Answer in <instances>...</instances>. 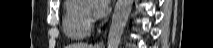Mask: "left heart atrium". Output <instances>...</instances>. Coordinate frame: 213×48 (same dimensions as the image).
Here are the masks:
<instances>
[{
  "label": "left heart atrium",
  "mask_w": 213,
  "mask_h": 48,
  "mask_svg": "<svg viewBox=\"0 0 213 48\" xmlns=\"http://www.w3.org/2000/svg\"><path fill=\"white\" fill-rule=\"evenodd\" d=\"M109 0H97L95 3L94 16L96 18H103L110 12Z\"/></svg>",
  "instance_id": "left-heart-atrium-1"
}]
</instances>
